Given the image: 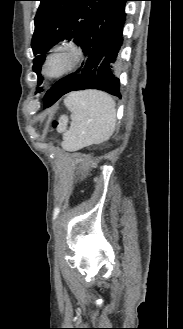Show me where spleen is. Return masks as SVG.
Returning <instances> with one entry per match:
<instances>
[{
	"instance_id": "3e777b00",
	"label": "spleen",
	"mask_w": 183,
	"mask_h": 329,
	"mask_svg": "<svg viewBox=\"0 0 183 329\" xmlns=\"http://www.w3.org/2000/svg\"><path fill=\"white\" fill-rule=\"evenodd\" d=\"M71 112V124L66 132L63 148L77 151L108 140L115 128V101L98 90L69 93L64 99Z\"/></svg>"
}]
</instances>
